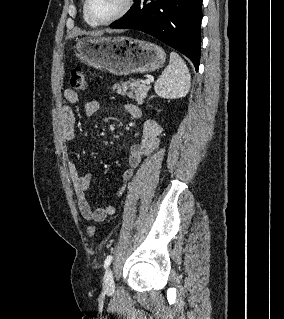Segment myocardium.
I'll return each instance as SVG.
<instances>
[{
    "label": "myocardium",
    "mask_w": 284,
    "mask_h": 319,
    "mask_svg": "<svg viewBox=\"0 0 284 319\" xmlns=\"http://www.w3.org/2000/svg\"><path fill=\"white\" fill-rule=\"evenodd\" d=\"M89 1L90 0H84L83 12H84L86 19L95 26L109 25V24H112V23L120 20L130 11V9L132 8L133 3H134V0H123L120 9L112 17H110L106 20H96L90 15Z\"/></svg>",
    "instance_id": "f54148a6"
}]
</instances>
